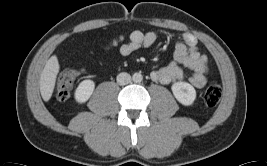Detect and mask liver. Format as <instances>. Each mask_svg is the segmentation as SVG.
<instances>
[{"label": "liver", "instance_id": "obj_1", "mask_svg": "<svg viewBox=\"0 0 267 166\" xmlns=\"http://www.w3.org/2000/svg\"><path fill=\"white\" fill-rule=\"evenodd\" d=\"M59 69L57 56H51L40 75V93L44 101H49L53 94Z\"/></svg>", "mask_w": 267, "mask_h": 166}]
</instances>
